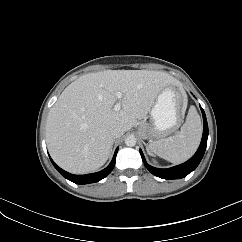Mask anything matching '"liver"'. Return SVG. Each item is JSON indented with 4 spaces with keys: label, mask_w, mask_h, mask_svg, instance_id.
Masks as SVG:
<instances>
[{
    "label": "liver",
    "mask_w": 242,
    "mask_h": 242,
    "mask_svg": "<svg viewBox=\"0 0 242 242\" xmlns=\"http://www.w3.org/2000/svg\"><path fill=\"white\" fill-rule=\"evenodd\" d=\"M180 82L168 73L148 70H106L88 73L69 84L49 111L46 142L53 160L64 170L84 174L100 168L114 139L145 118L158 94ZM116 92L123 94L115 111ZM119 101V100H118Z\"/></svg>",
    "instance_id": "liver-1"
}]
</instances>
